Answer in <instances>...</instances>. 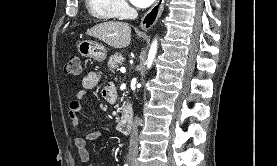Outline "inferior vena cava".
Here are the masks:
<instances>
[{"instance_id":"1","label":"inferior vena cava","mask_w":277,"mask_h":166,"mask_svg":"<svg viewBox=\"0 0 277 166\" xmlns=\"http://www.w3.org/2000/svg\"><path fill=\"white\" fill-rule=\"evenodd\" d=\"M138 125L139 118L135 117V121L133 123L132 134L129 142V157H135L138 153Z\"/></svg>"}]
</instances>
